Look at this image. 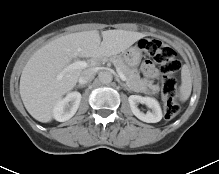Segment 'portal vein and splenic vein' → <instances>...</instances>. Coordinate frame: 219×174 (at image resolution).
I'll use <instances>...</instances> for the list:
<instances>
[{
    "instance_id": "18ae733b",
    "label": "portal vein and splenic vein",
    "mask_w": 219,
    "mask_h": 174,
    "mask_svg": "<svg viewBox=\"0 0 219 174\" xmlns=\"http://www.w3.org/2000/svg\"><path fill=\"white\" fill-rule=\"evenodd\" d=\"M87 63L85 61H75L73 62L72 64H70L69 66H67L63 72L61 74L58 75V79H61L62 76H63V73L64 72H67V71H70V70H73V69H84L87 67ZM116 70L121 78L122 81H126V77L125 75L123 74V72L120 70V68L116 67Z\"/></svg>"
}]
</instances>
